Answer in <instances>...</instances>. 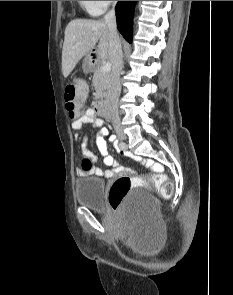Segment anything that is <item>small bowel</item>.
<instances>
[{
	"label": "small bowel",
	"instance_id": "1",
	"mask_svg": "<svg viewBox=\"0 0 233 295\" xmlns=\"http://www.w3.org/2000/svg\"><path fill=\"white\" fill-rule=\"evenodd\" d=\"M92 124L94 127L102 128L100 133L96 137V145L103 156V162L109 169H102L99 167H95V157L91 153V151L87 148L86 139L84 140L81 148L82 157L84 160L90 162V171L87 173H92L98 177L102 178H112L118 173L129 171V169L123 165H121L113 156H111L108 152L107 143L105 137L108 136V130L103 127L104 121L97 116L96 112L93 109L83 110L81 111L72 121V128L74 130H80L83 125ZM110 142L113 143L119 153H124V149L120 148L117 144V140L114 136L109 138ZM142 163L151 168L154 171L159 172L161 170V166L158 163H154L152 160L144 159ZM79 172H81L79 170ZM85 172V171H84Z\"/></svg>",
	"mask_w": 233,
	"mask_h": 295
}]
</instances>
